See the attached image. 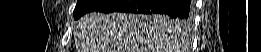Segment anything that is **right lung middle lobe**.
<instances>
[{
  "label": "right lung middle lobe",
  "mask_w": 261,
  "mask_h": 52,
  "mask_svg": "<svg viewBox=\"0 0 261 52\" xmlns=\"http://www.w3.org/2000/svg\"><path fill=\"white\" fill-rule=\"evenodd\" d=\"M105 2V0H78L74 10V19L80 18L87 12L94 10ZM163 20L172 23L176 26H187L189 19L173 18L165 16Z\"/></svg>",
  "instance_id": "1"
}]
</instances>
